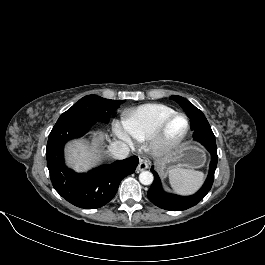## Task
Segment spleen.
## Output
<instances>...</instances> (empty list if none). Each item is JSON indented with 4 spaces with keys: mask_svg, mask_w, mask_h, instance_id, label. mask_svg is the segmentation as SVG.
I'll return each instance as SVG.
<instances>
[{
    "mask_svg": "<svg viewBox=\"0 0 265 265\" xmlns=\"http://www.w3.org/2000/svg\"><path fill=\"white\" fill-rule=\"evenodd\" d=\"M204 173L187 168H173L169 171V181L172 188L182 194L196 191L203 183Z\"/></svg>",
    "mask_w": 265,
    "mask_h": 265,
    "instance_id": "obj_1",
    "label": "spleen"
}]
</instances>
